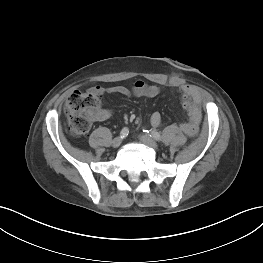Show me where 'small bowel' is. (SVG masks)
Segmentation results:
<instances>
[{
  "instance_id": "1",
  "label": "small bowel",
  "mask_w": 263,
  "mask_h": 263,
  "mask_svg": "<svg viewBox=\"0 0 263 263\" xmlns=\"http://www.w3.org/2000/svg\"><path fill=\"white\" fill-rule=\"evenodd\" d=\"M91 90L96 91L100 94L103 93H109V94H119L123 96H130L134 95L137 97H146V98H153L156 97L160 93V87L157 85H149L143 81H136L132 84L131 88L122 86V85H117V86H112L108 88H102V87H94ZM182 91L184 95H186L188 98H190L192 102V110L190 112V123H186L182 125V130H184V134L186 136L191 137V136H201L203 135L205 129V120H204V115L201 114L200 110V94L191 86L189 85H184L182 87ZM109 116V113L107 111H102L98 119H106ZM200 120V122H199ZM200 123V129H195L197 123ZM150 123L153 126H159L161 123V115L159 112H154L152 113L150 117ZM194 129V131H192Z\"/></svg>"
}]
</instances>
